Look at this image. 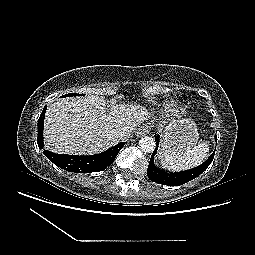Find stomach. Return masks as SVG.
I'll use <instances>...</instances> for the list:
<instances>
[{"instance_id":"obj_1","label":"stomach","mask_w":255,"mask_h":255,"mask_svg":"<svg viewBox=\"0 0 255 255\" xmlns=\"http://www.w3.org/2000/svg\"><path fill=\"white\" fill-rule=\"evenodd\" d=\"M198 139V129L191 118L173 120L163 129L160 155H175L194 148Z\"/></svg>"}]
</instances>
